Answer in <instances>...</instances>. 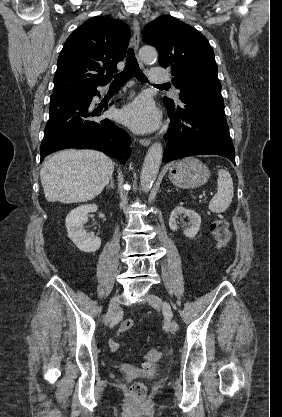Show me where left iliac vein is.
<instances>
[{"mask_svg": "<svg viewBox=\"0 0 282 417\" xmlns=\"http://www.w3.org/2000/svg\"><path fill=\"white\" fill-rule=\"evenodd\" d=\"M148 301L154 309L160 310L163 306L162 299L156 295L149 294ZM167 323L172 331L176 332L178 330V323L175 320L171 319V317H167Z\"/></svg>", "mask_w": 282, "mask_h": 417, "instance_id": "left-iliac-vein-1", "label": "left iliac vein"}]
</instances>
